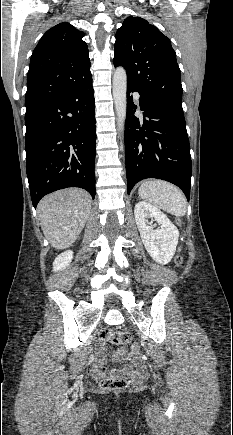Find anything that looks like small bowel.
I'll return each mask as SVG.
<instances>
[{
    "label": "small bowel",
    "mask_w": 233,
    "mask_h": 435,
    "mask_svg": "<svg viewBox=\"0 0 233 435\" xmlns=\"http://www.w3.org/2000/svg\"><path fill=\"white\" fill-rule=\"evenodd\" d=\"M106 342L100 340L98 342L97 348L98 353L104 354L106 350ZM112 359L114 361L127 360L130 362V366L127 369V373L131 375H139L144 373L145 368L140 362V353L138 351L127 352L122 348H117L111 352ZM105 359L100 358L92 365V374L95 378H101L108 374L114 373L116 370L111 369L105 365Z\"/></svg>",
    "instance_id": "small-bowel-1"
}]
</instances>
